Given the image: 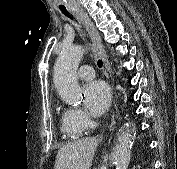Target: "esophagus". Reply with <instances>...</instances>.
Returning a JSON list of instances; mask_svg holds the SVG:
<instances>
[{"label":"esophagus","instance_id":"obj_1","mask_svg":"<svg viewBox=\"0 0 177 169\" xmlns=\"http://www.w3.org/2000/svg\"><path fill=\"white\" fill-rule=\"evenodd\" d=\"M69 10L77 19H79L83 23L86 31L90 35L93 46L99 58L102 61L103 69L105 71L106 76L108 77L110 74V64L108 62L107 55L104 51L101 37L97 29L95 28L93 22L90 20V18L87 16V14L83 11V9L79 5H70Z\"/></svg>","mask_w":177,"mask_h":169}]
</instances>
